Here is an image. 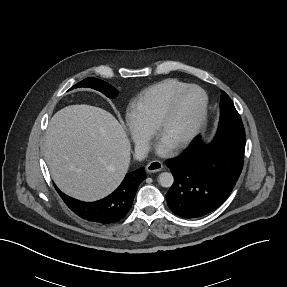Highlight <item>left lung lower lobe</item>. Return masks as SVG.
<instances>
[{
	"mask_svg": "<svg viewBox=\"0 0 287 287\" xmlns=\"http://www.w3.org/2000/svg\"><path fill=\"white\" fill-rule=\"evenodd\" d=\"M244 151L245 136H219L208 145L197 137L180 156L167 160L174 176L166 193L172 212L191 219L220 206L241 174Z\"/></svg>",
	"mask_w": 287,
	"mask_h": 287,
	"instance_id": "obj_1",
	"label": "left lung lower lobe"
}]
</instances>
